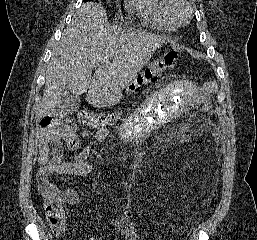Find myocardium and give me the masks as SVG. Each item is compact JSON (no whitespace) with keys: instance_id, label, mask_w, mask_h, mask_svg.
Here are the masks:
<instances>
[{"instance_id":"1","label":"myocardium","mask_w":257,"mask_h":240,"mask_svg":"<svg viewBox=\"0 0 257 240\" xmlns=\"http://www.w3.org/2000/svg\"><path fill=\"white\" fill-rule=\"evenodd\" d=\"M171 14L180 23L186 22L192 14V6L187 0H170Z\"/></svg>"}]
</instances>
